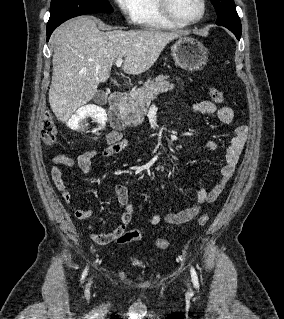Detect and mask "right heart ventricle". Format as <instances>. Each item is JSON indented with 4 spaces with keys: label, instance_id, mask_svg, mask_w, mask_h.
I'll list each match as a JSON object with an SVG mask.
<instances>
[{
    "label": "right heart ventricle",
    "instance_id": "1",
    "mask_svg": "<svg viewBox=\"0 0 284 319\" xmlns=\"http://www.w3.org/2000/svg\"><path fill=\"white\" fill-rule=\"evenodd\" d=\"M137 24L145 29H171L180 27L163 17L158 9L157 0H140V12Z\"/></svg>",
    "mask_w": 284,
    "mask_h": 319
}]
</instances>
